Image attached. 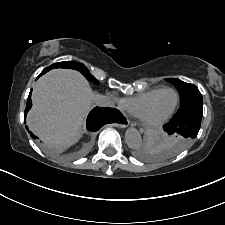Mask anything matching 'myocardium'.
Returning a JSON list of instances; mask_svg holds the SVG:
<instances>
[{
	"mask_svg": "<svg viewBox=\"0 0 225 225\" xmlns=\"http://www.w3.org/2000/svg\"><path fill=\"white\" fill-rule=\"evenodd\" d=\"M167 91H172L175 93L176 95V103H175V106L173 107V109L171 110V112L165 116L164 118L158 120V121H150L148 120L147 118V114L152 106V104L155 102V100L164 92H167ZM180 105V94L177 90H175L174 88H170V87H167V88H162L160 91H158L152 98L151 100L145 105L143 111L141 112L139 118L142 122V124L148 128H157V127H161L163 125H165L166 123H168L172 117L175 115L178 107Z\"/></svg>",
	"mask_w": 225,
	"mask_h": 225,
	"instance_id": "obj_1",
	"label": "myocardium"
}]
</instances>
